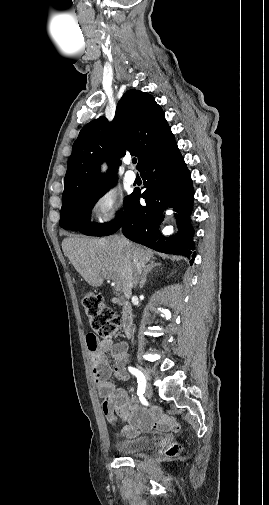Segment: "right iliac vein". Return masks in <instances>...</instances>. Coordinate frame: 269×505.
Listing matches in <instances>:
<instances>
[{"mask_svg":"<svg viewBox=\"0 0 269 505\" xmlns=\"http://www.w3.org/2000/svg\"><path fill=\"white\" fill-rule=\"evenodd\" d=\"M145 385H146V386H145L146 396H147L148 398H150V397H152V395H153V389H152V387H151V382H150V381H146V382H145Z\"/></svg>","mask_w":269,"mask_h":505,"instance_id":"right-iliac-vein-1","label":"right iliac vein"}]
</instances>
